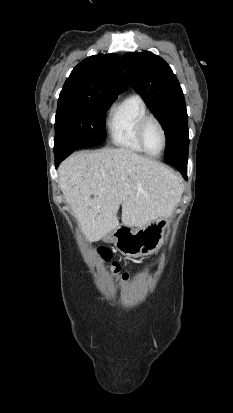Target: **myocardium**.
I'll return each mask as SVG.
<instances>
[{
	"label": "myocardium",
	"mask_w": 233,
	"mask_h": 413,
	"mask_svg": "<svg viewBox=\"0 0 233 413\" xmlns=\"http://www.w3.org/2000/svg\"><path fill=\"white\" fill-rule=\"evenodd\" d=\"M149 121H154L158 125V127L161 130L162 137H163L162 148L156 154L149 152L146 145H145V142H144V129H145L146 124ZM136 136H137L138 143L141 146V148L143 149V151L147 155L152 156V157L160 156L164 152V150L167 146V133H166L164 125L162 124V122L160 121V119L158 117H156L155 115L150 114V113H147V114H145L144 116H142L140 118V120L137 124V127H136Z\"/></svg>",
	"instance_id": "myocardium-1"
}]
</instances>
